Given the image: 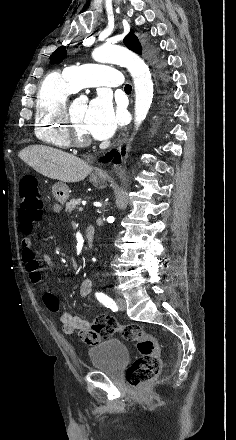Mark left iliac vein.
Masks as SVG:
<instances>
[{"label": "left iliac vein", "mask_w": 236, "mask_h": 440, "mask_svg": "<svg viewBox=\"0 0 236 440\" xmlns=\"http://www.w3.org/2000/svg\"><path fill=\"white\" fill-rule=\"evenodd\" d=\"M116 303H117V307L121 310L124 311L126 308V303L125 300L122 297H117L116 299Z\"/></svg>", "instance_id": "obj_1"}]
</instances>
